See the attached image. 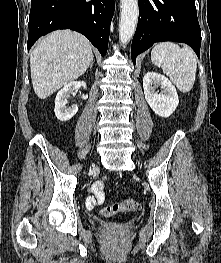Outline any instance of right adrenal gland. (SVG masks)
<instances>
[{
    "mask_svg": "<svg viewBox=\"0 0 221 263\" xmlns=\"http://www.w3.org/2000/svg\"><path fill=\"white\" fill-rule=\"evenodd\" d=\"M92 66H93V61H92V63L90 64V69H92Z\"/></svg>",
    "mask_w": 221,
    "mask_h": 263,
    "instance_id": "2a0ac1e0",
    "label": "right adrenal gland"
}]
</instances>
